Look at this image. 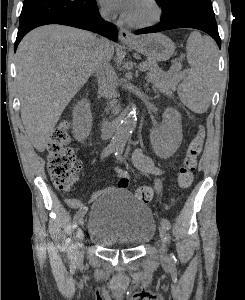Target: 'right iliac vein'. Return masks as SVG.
Segmentation results:
<instances>
[{
	"instance_id": "1",
	"label": "right iliac vein",
	"mask_w": 245,
	"mask_h": 300,
	"mask_svg": "<svg viewBox=\"0 0 245 300\" xmlns=\"http://www.w3.org/2000/svg\"><path fill=\"white\" fill-rule=\"evenodd\" d=\"M84 224V220L81 219L79 222L80 226H83ZM76 239H77V243H76V256L78 258H81L83 255V239H84V233L83 230L81 228H78L77 233H76Z\"/></svg>"
}]
</instances>
